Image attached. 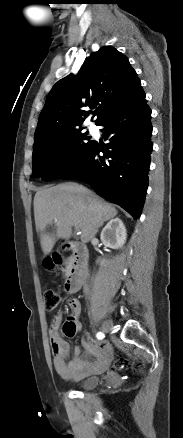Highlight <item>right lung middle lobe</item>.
I'll use <instances>...</instances> for the list:
<instances>
[{"label": "right lung middle lobe", "mask_w": 183, "mask_h": 438, "mask_svg": "<svg viewBox=\"0 0 183 438\" xmlns=\"http://www.w3.org/2000/svg\"><path fill=\"white\" fill-rule=\"evenodd\" d=\"M82 128L44 136L34 141L32 155L33 176L50 180L66 166L72 163L77 155L89 147L93 141L82 133Z\"/></svg>", "instance_id": "right-lung-middle-lobe-1"}]
</instances>
